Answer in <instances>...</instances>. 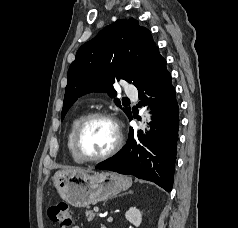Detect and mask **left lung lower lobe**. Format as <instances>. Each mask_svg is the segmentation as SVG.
Here are the masks:
<instances>
[{"label":"left lung lower lobe","mask_w":238,"mask_h":228,"mask_svg":"<svg viewBox=\"0 0 238 228\" xmlns=\"http://www.w3.org/2000/svg\"><path fill=\"white\" fill-rule=\"evenodd\" d=\"M139 98L152 106L151 131L134 141L133 129L125 147L107 159L96 169L110 170L120 174L134 175L139 179L156 183L170 192L173 186L178 140V103L171 75L166 69V60L156 49L145 65L141 82L136 86ZM147 95L152 98H147ZM133 114L129 119H133Z\"/></svg>","instance_id":"obj_1"}]
</instances>
